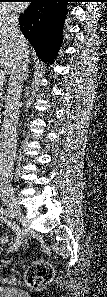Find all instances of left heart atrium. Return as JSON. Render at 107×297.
Listing matches in <instances>:
<instances>
[{
    "label": "left heart atrium",
    "mask_w": 107,
    "mask_h": 297,
    "mask_svg": "<svg viewBox=\"0 0 107 297\" xmlns=\"http://www.w3.org/2000/svg\"><path fill=\"white\" fill-rule=\"evenodd\" d=\"M14 8L16 10H22L23 9V5L22 4H19V3H16V4H13Z\"/></svg>",
    "instance_id": "obj_1"
}]
</instances>
